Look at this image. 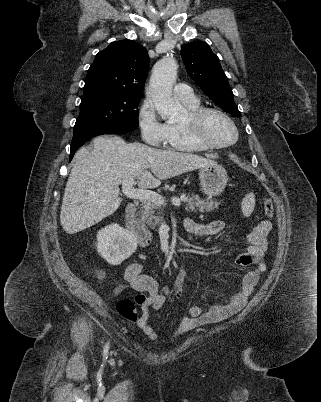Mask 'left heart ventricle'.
Masks as SVG:
<instances>
[{
    "mask_svg": "<svg viewBox=\"0 0 321 402\" xmlns=\"http://www.w3.org/2000/svg\"><path fill=\"white\" fill-rule=\"evenodd\" d=\"M204 135L214 143H228L234 139L231 125L217 114H209L203 123Z\"/></svg>",
    "mask_w": 321,
    "mask_h": 402,
    "instance_id": "left-heart-ventricle-1",
    "label": "left heart ventricle"
}]
</instances>
